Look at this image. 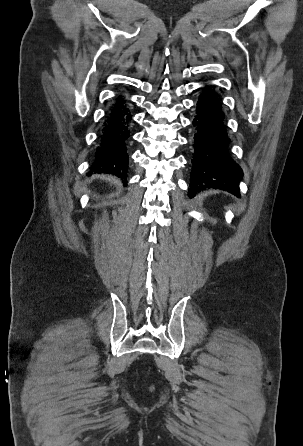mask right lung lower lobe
<instances>
[{
	"label": "right lung lower lobe",
	"mask_w": 303,
	"mask_h": 446,
	"mask_svg": "<svg viewBox=\"0 0 303 446\" xmlns=\"http://www.w3.org/2000/svg\"><path fill=\"white\" fill-rule=\"evenodd\" d=\"M128 100L119 95L115 98L109 118L103 127L100 146L93 163L91 173H110L122 179L127 176V145L131 137L132 119Z\"/></svg>",
	"instance_id": "right-lung-lower-lobe-1"
}]
</instances>
